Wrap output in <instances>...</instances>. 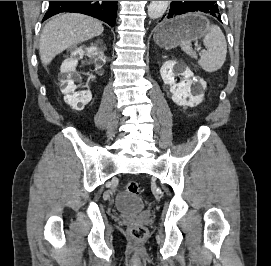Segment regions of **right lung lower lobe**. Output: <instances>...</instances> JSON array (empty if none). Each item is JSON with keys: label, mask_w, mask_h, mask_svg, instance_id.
<instances>
[{"label": "right lung lower lobe", "mask_w": 271, "mask_h": 266, "mask_svg": "<svg viewBox=\"0 0 271 266\" xmlns=\"http://www.w3.org/2000/svg\"><path fill=\"white\" fill-rule=\"evenodd\" d=\"M60 12H75L90 15L114 27L117 1H50L43 21Z\"/></svg>", "instance_id": "right-lung-lower-lobe-1"}]
</instances>
